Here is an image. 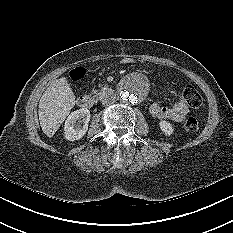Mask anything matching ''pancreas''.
I'll use <instances>...</instances> for the list:
<instances>
[{
	"label": "pancreas",
	"instance_id": "cf45deb5",
	"mask_svg": "<svg viewBox=\"0 0 233 233\" xmlns=\"http://www.w3.org/2000/svg\"><path fill=\"white\" fill-rule=\"evenodd\" d=\"M110 90L108 85L101 86L99 90L93 89L92 93L95 94V96L103 97L108 91Z\"/></svg>",
	"mask_w": 233,
	"mask_h": 233
}]
</instances>
